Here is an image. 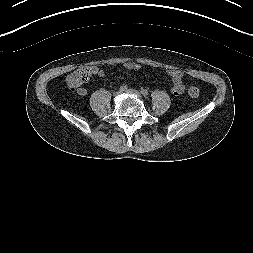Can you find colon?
Masks as SVG:
<instances>
[{
    "label": "colon",
    "instance_id": "5ec220e1",
    "mask_svg": "<svg viewBox=\"0 0 253 253\" xmlns=\"http://www.w3.org/2000/svg\"><path fill=\"white\" fill-rule=\"evenodd\" d=\"M91 75L92 71L90 67L78 68L67 78V86L72 91H78L90 79ZM187 93L191 98H197L200 90L196 86H190Z\"/></svg>",
    "mask_w": 253,
    "mask_h": 253
}]
</instances>
